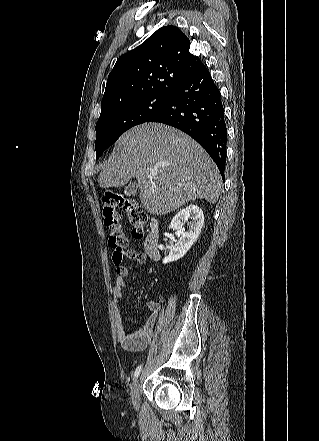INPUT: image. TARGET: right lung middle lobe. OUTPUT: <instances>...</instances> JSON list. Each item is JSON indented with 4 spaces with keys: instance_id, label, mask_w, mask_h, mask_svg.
Here are the masks:
<instances>
[{
    "instance_id": "obj_1",
    "label": "right lung middle lobe",
    "mask_w": 319,
    "mask_h": 441,
    "mask_svg": "<svg viewBox=\"0 0 319 441\" xmlns=\"http://www.w3.org/2000/svg\"><path fill=\"white\" fill-rule=\"evenodd\" d=\"M170 97L149 96L122 102L101 111L96 124V159L125 131L149 121L168 104Z\"/></svg>"
}]
</instances>
